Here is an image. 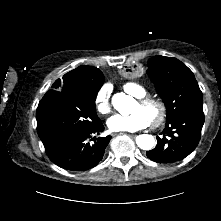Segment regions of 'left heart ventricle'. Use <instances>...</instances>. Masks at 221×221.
<instances>
[{
  "instance_id": "obj_1",
  "label": "left heart ventricle",
  "mask_w": 221,
  "mask_h": 221,
  "mask_svg": "<svg viewBox=\"0 0 221 221\" xmlns=\"http://www.w3.org/2000/svg\"><path fill=\"white\" fill-rule=\"evenodd\" d=\"M132 111L133 112H136V111L143 112L148 117L150 122H152L158 115V108L155 105L142 106L138 102L135 104Z\"/></svg>"
}]
</instances>
